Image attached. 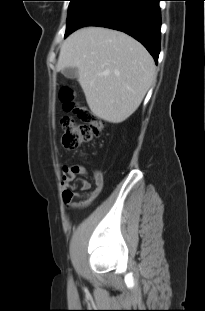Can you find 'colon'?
I'll return each instance as SVG.
<instances>
[{
    "instance_id": "1",
    "label": "colon",
    "mask_w": 205,
    "mask_h": 311,
    "mask_svg": "<svg viewBox=\"0 0 205 311\" xmlns=\"http://www.w3.org/2000/svg\"><path fill=\"white\" fill-rule=\"evenodd\" d=\"M59 100L66 112H71L79 119L65 116L61 120L63 127L62 144L67 150H77L103 132V123L89 109L76 102L74 89L65 85L59 90Z\"/></svg>"
}]
</instances>
